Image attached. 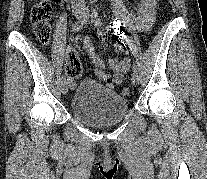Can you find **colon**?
Returning a JSON list of instances; mask_svg holds the SVG:
<instances>
[{
  "label": "colon",
  "mask_w": 207,
  "mask_h": 179,
  "mask_svg": "<svg viewBox=\"0 0 207 179\" xmlns=\"http://www.w3.org/2000/svg\"><path fill=\"white\" fill-rule=\"evenodd\" d=\"M52 16V5L49 0H39L30 12V21L33 26L34 34L42 45H48L51 39L50 19ZM82 68L74 53L67 56L65 73L69 79H76L81 75ZM121 95L127 96L129 88L124 87L120 91Z\"/></svg>",
  "instance_id": "obj_1"
}]
</instances>
